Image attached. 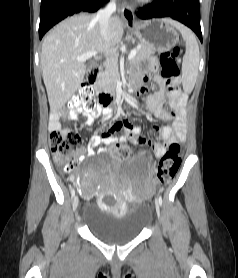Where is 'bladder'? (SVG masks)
<instances>
[{
  "mask_svg": "<svg viewBox=\"0 0 238 278\" xmlns=\"http://www.w3.org/2000/svg\"><path fill=\"white\" fill-rule=\"evenodd\" d=\"M152 212L147 204L135 203L125 214L114 215L97 204H85L83 226L101 242L117 245L137 238L150 223Z\"/></svg>",
  "mask_w": 238,
  "mask_h": 278,
  "instance_id": "31cf9c89",
  "label": "bladder"
}]
</instances>
